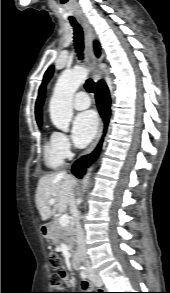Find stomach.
Instances as JSON below:
<instances>
[{"instance_id":"obj_1","label":"stomach","mask_w":170,"mask_h":293,"mask_svg":"<svg viewBox=\"0 0 170 293\" xmlns=\"http://www.w3.org/2000/svg\"><path fill=\"white\" fill-rule=\"evenodd\" d=\"M45 236L46 238H51V229L48 228L46 231H45Z\"/></svg>"}]
</instances>
